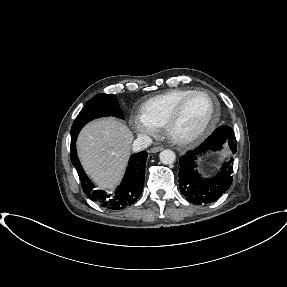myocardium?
I'll use <instances>...</instances> for the list:
<instances>
[{
	"mask_svg": "<svg viewBox=\"0 0 287 287\" xmlns=\"http://www.w3.org/2000/svg\"><path fill=\"white\" fill-rule=\"evenodd\" d=\"M196 95H204L208 97V99L211 102V111L210 114L204 123V125L196 130L195 132H192L190 134L186 135H178L174 132V126L180 119L183 109L187 102L192 98L193 96ZM219 115V106L215 100V98L208 92L202 91V90H194L191 93H189L187 96H185L175 107L173 112L167 117L163 124V129L166 134V136L173 142L180 144V145H187L194 143L196 141H199L203 139L205 136H207L212 129L214 128L217 119Z\"/></svg>",
	"mask_w": 287,
	"mask_h": 287,
	"instance_id": "myocardium-1",
	"label": "myocardium"
}]
</instances>
